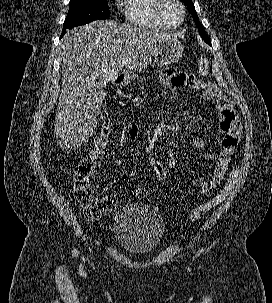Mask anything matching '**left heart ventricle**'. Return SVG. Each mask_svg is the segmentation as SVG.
<instances>
[{"instance_id": "b2bd125f", "label": "left heart ventricle", "mask_w": 272, "mask_h": 303, "mask_svg": "<svg viewBox=\"0 0 272 303\" xmlns=\"http://www.w3.org/2000/svg\"><path fill=\"white\" fill-rule=\"evenodd\" d=\"M165 16L169 22L177 23L181 17L179 7L174 3H168L165 7Z\"/></svg>"}]
</instances>
